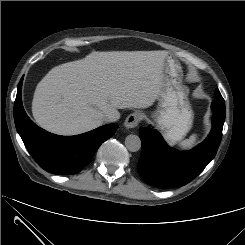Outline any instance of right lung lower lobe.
Returning a JSON list of instances; mask_svg holds the SVG:
<instances>
[{"label": "right lung lower lobe", "mask_w": 245, "mask_h": 245, "mask_svg": "<svg viewBox=\"0 0 245 245\" xmlns=\"http://www.w3.org/2000/svg\"><path fill=\"white\" fill-rule=\"evenodd\" d=\"M22 80L14 103L16 129L27 150L44 170L59 175L80 172L118 125L108 124L76 136H59L38 127L26 114L21 99Z\"/></svg>", "instance_id": "1"}]
</instances>
